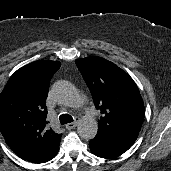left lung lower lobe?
Masks as SVG:
<instances>
[{
    "label": "left lung lower lobe",
    "mask_w": 171,
    "mask_h": 171,
    "mask_svg": "<svg viewBox=\"0 0 171 171\" xmlns=\"http://www.w3.org/2000/svg\"><path fill=\"white\" fill-rule=\"evenodd\" d=\"M89 146L94 155L105 159H113L126 151L125 148L115 145L99 136L90 140Z\"/></svg>",
    "instance_id": "1"
}]
</instances>
